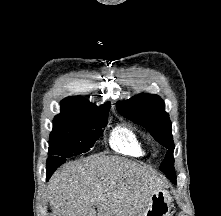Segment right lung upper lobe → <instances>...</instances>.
Returning a JSON list of instances; mask_svg holds the SVG:
<instances>
[{"mask_svg":"<svg viewBox=\"0 0 221 216\" xmlns=\"http://www.w3.org/2000/svg\"><path fill=\"white\" fill-rule=\"evenodd\" d=\"M110 107V102L98 107L80 96L68 97L61 101V113L54 118L53 126L67 124L82 117L106 114Z\"/></svg>","mask_w":221,"mask_h":216,"instance_id":"obj_1","label":"right lung upper lobe"}]
</instances>
